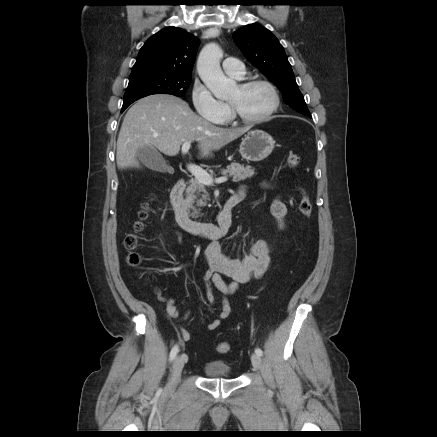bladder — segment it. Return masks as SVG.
I'll return each mask as SVG.
<instances>
[{
  "label": "bladder",
  "instance_id": "obj_1",
  "mask_svg": "<svg viewBox=\"0 0 437 437\" xmlns=\"http://www.w3.org/2000/svg\"><path fill=\"white\" fill-rule=\"evenodd\" d=\"M204 373L209 378H229L232 375V369L226 362L212 361L205 364Z\"/></svg>",
  "mask_w": 437,
  "mask_h": 437
}]
</instances>
